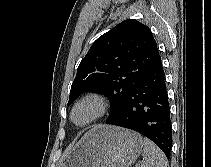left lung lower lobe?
<instances>
[{"instance_id":"left-lung-lower-lobe-1","label":"left lung lower lobe","mask_w":211,"mask_h":167,"mask_svg":"<svg viewBox=\"0 0 211 167\" xmlns=\"http://www.w3.org/2000/svg\"><path fill=\"white\" fill-rule=\"evenodd\" d=\"M106 124L125 127L141 133L170 158L172 127L165 74L158 56L150 71L125 98L119 113Z\"/></svg>"}]
</instances>
